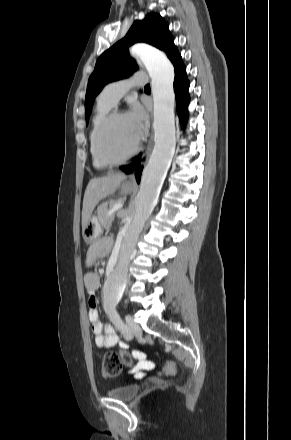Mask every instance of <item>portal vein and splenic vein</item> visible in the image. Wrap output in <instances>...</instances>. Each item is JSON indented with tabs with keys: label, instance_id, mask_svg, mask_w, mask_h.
I'll use <instances>...</instances> for the list:
<instances>
[{
	"label": "portal vein and splenic vein",
	"instance_id": "portal-vein-and-splenic-vein-1",
	"mask_svg": "<svg viewBox=\"0 0 291 440\" xmlns=\"http://www.w3.org/2000/svg\"><path fill=\"white\" fill-rule=\"evenodd\" d=\"M121 208H122V204H116V205L112 208V210L108 213V217H110L114 211H117V210H119V209H121Z\"/></svg>",
	"mask_w": 291,
	"mask_h": 440
}]
</instances>
